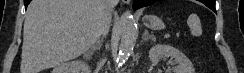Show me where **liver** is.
<instances>
[{"mask_svg": "<svg viewBox=\"0 0 244 73\" xmlns=\"http://www.w3.org/2000/svg\"><path fill=\"white\" fill-rule=\"evenodd\" d=\"M101 0H32L26 12L21 73H40L88 51L101 31Z\"/></svg>", "mask_w": 244, "mask_h": 73, "instance_id": "liver-1", "label": "liver"}]
</instances>
